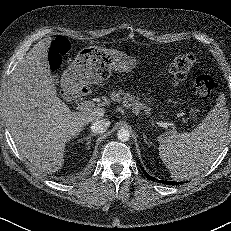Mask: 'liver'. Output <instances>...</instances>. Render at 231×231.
Returning <instances> with one entry per match:
<instances>
[{"instance_id":"1","label":"liver","mask_w":231,"mask_h":231,"mask_svg":"<svg viewBox=\"0 0 231 231\" xmlns=\"http://www.w3.org/2000/svg\"><path fill=\"white\" fill-rule=\"evenodd\" d=\"M51 41L44 38L30 49L15 67L6 93L14 142L23 157L46 173L63 166L66 143L105 113L100 107L71 112L58 98L47 59Z\"/></svg>"}]
</instances>
